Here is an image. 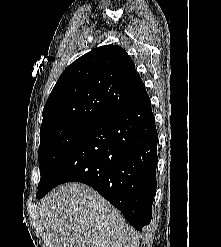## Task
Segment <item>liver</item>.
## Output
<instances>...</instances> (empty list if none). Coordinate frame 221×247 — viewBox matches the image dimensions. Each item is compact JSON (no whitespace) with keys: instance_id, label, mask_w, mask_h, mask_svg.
Returning a JSON list of instances; mask_svg holds the SVG:
<instances>
[{"instance_id":"1","label":"liver","mask_w":221,"mask_h":247,"mask_svg":"<svg viewBox=\"0 0 221 247\" xmlns=\"http://www.w3.org/2000/svg\"><path fill=\"white\" fill-rule=\"evenodd\" d=\"M52 247H139L137 232L92 188L66 183L38 207Z\"/></svg>"}]
</instances>
